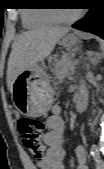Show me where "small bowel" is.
<instances>
[{
	"label": "small bowel",
	"mask_w": 104,
	"mask_h": 169,
	"mask_svg": "<svg viewBox=\"0 0 104 169\" xmlns=\"http://www.w3.org/2000/svg\"><path fill=\"white\" fill-rule=\"evenodd\" d=\"M86 96L83 90L78 96ZM61 107L56 105L52 108V114L46 120L47 132L44 134V143L48 146L45 157L37 164L38 169H64V161L67 153L64 149L65 123L61 116ZM78 161L76 169H89L86 157V148L83 144L75 150Z\"/></svg>",
	"instance_id": "small-bowel-1"
}]
</instances>
